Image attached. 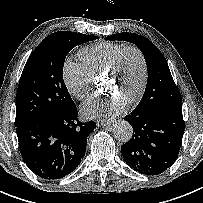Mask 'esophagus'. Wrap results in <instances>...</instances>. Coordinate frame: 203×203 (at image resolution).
<instances>
[{
	"mask_svg": "<svg viewBox=\"0 0 203 203\" xmlns=\"http://www.w3.org/2000/svg\"><path fill=\"white\" fill-rule=\"evenodd\" d=\"M113 121H98L97 122V125L98 126H107V125H110Z\"/></svg>",
	"mask_w": 203,
	"mask_h": 203,
	"instance_id": "esophagus-1",
	"label": "esophagus"
}]
</instances>
